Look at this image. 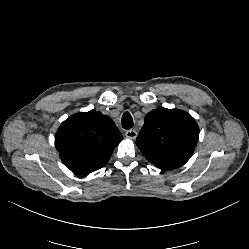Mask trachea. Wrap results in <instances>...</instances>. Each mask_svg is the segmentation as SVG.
<instances>
[{
    "mask_svg": "<svg viewBox=\"0 0 249 249\" xmlns=\"http://www.w3.org/2000/svg\"><path fill=\"white\" fill-rule=\"evenodd\" d=\"M121 124L126 130H129L133 127V120L129 112H125L123 114Z\"/></svg>",
    "mask_w": 249,
    "mask_h": 249,
    "instance_id": "obj_1",
    "label": "trachea"
}]
</instances>
